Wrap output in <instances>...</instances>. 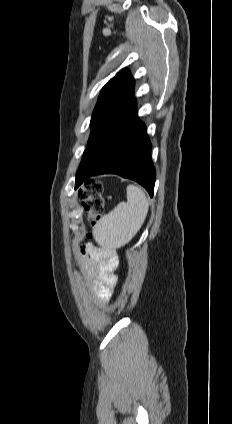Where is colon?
I'll use <instances>...</instances> for the list:
<instances>
[{
    "label": "colon",
    "instance_id": "5ec220e1",
    "mask_svg": "<svg viewBox=\"0 0 232 424\" xmlns=\"http://www.w3.org/2000/svg\"><path fill=\"white\" fill-rule=\"evenodd\" d=\"M88 220L91 224H95L104 212L103 185L96 180L89 181L84 188L78 193Z\"/></svg>",
    "mask_w": 232,
    "mask_h": 424
}]
</instances>
